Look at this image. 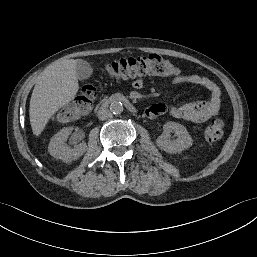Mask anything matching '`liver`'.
I'll return each mask as SVG.
<instances>
[{"label":"liver","instance_id":"obj_1","mask_svg":"<svg viewBox=\"0 0 257 257\" xmlns=\"http://www.w3.org/2000/svg\"><path fill=\"white\" fill-rule=\"evenodd\" d=\"M77 61H55L38 76L29 107L30 124L35 136L43 132L52 115L76 96L79 89Z\"/></svg>","mask_w":257,"mask_h":257}]
</instances>
